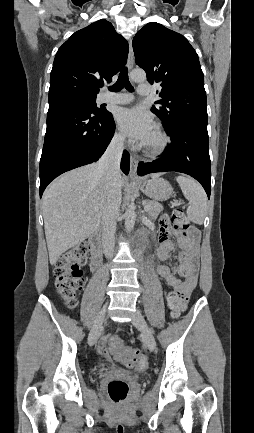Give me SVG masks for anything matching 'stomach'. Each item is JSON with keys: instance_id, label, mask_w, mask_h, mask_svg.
I'll return each instance as SVG.
<instances>
[{"instance_id": "obj_1", "label": "stomach", "mask_w": 254, "mask_h": 433, "mask_svg": "<svg viewBox=\"0 0 254 433\" xmlns=\"http://www.w3.org/2000/svg\"><path fill=\"white\" fill-rule=\"evenodd\" d=\"M144 194L156 201H164L172 196L173 189L170 183L159 177L144 179L139 182Z\"/></svg>"}]
</instances>
